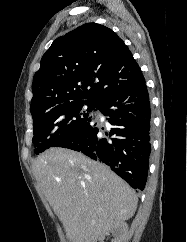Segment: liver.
<instances>
[{"instance_id":"liver-1","label":"liver","mask_w":187,"mask_h":242,"mask_svg":"<svg viewBox=\"0 0 187 242\" xmlns=\"http://www.w3.org/2000/svg\"><path fill=\"white\" fill-rule=\"evenodd\" d=\"M32 170L70 242H87L136 211L135 191L109 167L81 153L51 148Z\"/></svg>"}]
</instances>
